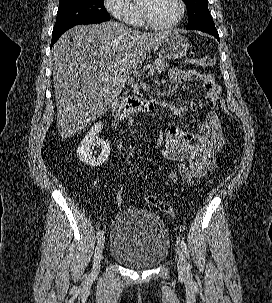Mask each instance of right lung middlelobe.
Instances as JSON below:
<instances>
[{
  "mask_svg": "<svg viewBox=\"0 0 272 303\" xmlns=\"http://www.w3.org/2000/svg\"><path fill=\"white\" fill-rule=\"evenodd\" d=\"M109 19L103 0H59L53 30L81 22H104Z\"/></svg>",
  "mask_w": 272,
  "mask_h": 303,
  "instance_id": "obj_1",
  "label": "right lung middle lobe"
}]
</instances>
